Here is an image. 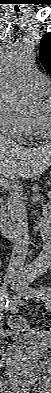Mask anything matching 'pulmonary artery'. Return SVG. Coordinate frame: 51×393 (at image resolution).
Returning a JSON list of instances; mask_svg holds the SVG:
<instances>
[{
	"mask_svg": "<svg viewBox=\"0 0 51 393\" xmlns=\"http://www.w3.org/2000/svg\"><path fill=\"white\" fill-rule=\"evenodd\" d=\"M32 81L39 92L47 94L50 91L49 79L45 75L41 73H35L32 76Z\"/></svg>",
	"mask_w": 51,
	"mask_h": 393,
	"instance_id": "e3ab8cb5",
	"label": "pulmonary artery"
}]
</instances>
